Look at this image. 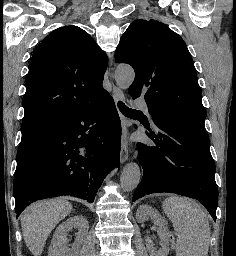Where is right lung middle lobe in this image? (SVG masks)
<instances>
[{
  "label": "right lung middle lobe",
  "mask_w": 236,
  "mask_h": 256,
  "mask_svg": "<svg viewBox=\"0 0 236 256\" xmlns=\"http://www.w3.org/2000/svg\"><path fill=\"white\" fill-rule=\"evenodd\" d=\"M57 121H59V119H54V118H39V119L23 121L21 126V129H22L21 140H24L26 138H29L39 133L40 131L53 125Z\"/></svg>",
  "instance_id": "1"
}]
</instances>
